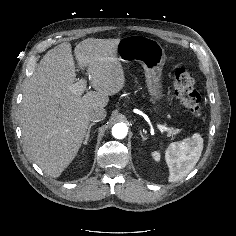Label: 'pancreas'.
Returning a JSON list of instances; mask_svg holds the SVG:
<instances>
[{
  "instance_id": "pancreas-1",
  "label": "pancreas",
  "mask_w": 236,
  "mask_h": 236,
  "mask_svg": "<svg viewBox=\"0 0 236 236\" xmlns=\"http://www.w3.org/2000/svg\"><path fill=\"white\" fill-rule=\"evenodd\" d=\"M177 132H178V131H174V132L172 131L171 133H177Z\"/></svg>"
}]
</instances>
